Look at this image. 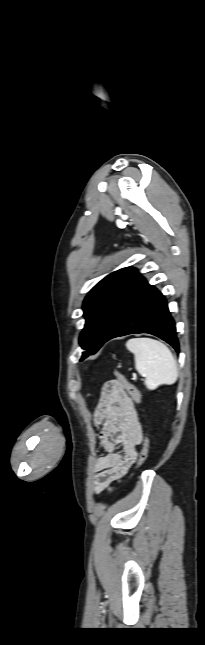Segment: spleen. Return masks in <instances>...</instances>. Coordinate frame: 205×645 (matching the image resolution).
Returning <instances> with one entry per match:
<instances>
[{
    "instance_id": "1",
    "label": "spleen",
    "mask_w": 205,
    "mask_h": 645,
    "mask_svg": "<svg viewBox=\"0 0 205 645\" xmlns=\"http://www.w3.org/2000/svg\"><path fill=\"white\" fill-rule=\"evenodd\" d=\"M126 347L134 354L135 368L145 377L147 389L155 390L176 382L177 362L165 344L151 338H133L127 341Z\"/></svg>"
}]
</instances>
